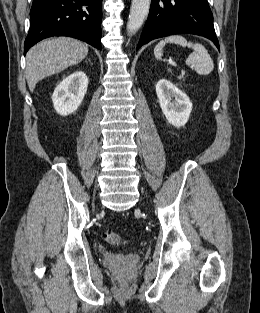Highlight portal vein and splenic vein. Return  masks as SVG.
<instances>
[{"label":"portal vein and splenic vein","mask_w":260,"mask_h":313,"mask_svg":"<svg viewBox=\"0 0 260 313\" xmlns=\"http://www.w3.org/2000/svg\"><path fill=\"white\" fill-rule=\"evenodd\" d=\"M172 64H173V65H175V63H174V62H172ZM184 74H185V72H184V71H182V72H181V75L183 76Z\"/></svg>","instance_id":"18ae733b"}]
</instances>
